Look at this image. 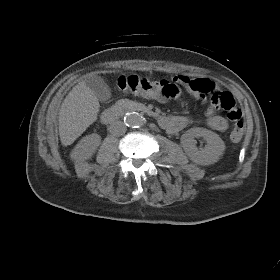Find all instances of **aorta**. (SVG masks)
<instances>
[{
  "label": "aorta",
  "instance_id": "762f6f07",
  "mask_svg": "<svg viewBox=\"0 0 280 280\" xmlns=\"http://www.w3.org/2000/svg\"><path fill=\"white\" fill-rule=\"evenodd\" d=\"M124 122L129 127L138 128L145 123V118L137 112H129L125 115Z\"/></svg>",
  "mask_w": 280,
  "mask_h": 280
}]
</instances>
